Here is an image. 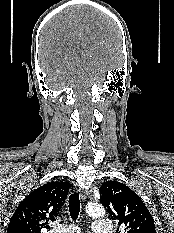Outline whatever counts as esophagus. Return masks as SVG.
Listing matches in <instances>:
<instances>
[{"instance_id": "34e87169", "label": "esophagus", "mask_w": 174, "mask_h": 233, "mask_svg": "<svg viewBox=\"0 0 174 233\" xmlns=\"http://www.w3.org/2000/svg\"><path fill=\"white\" fill-rule=\"evenodd\" d=\"M79 193L82 200H85L87 198L88 191L86 189L80 188Z\"/></svg>"}]
</instances>
